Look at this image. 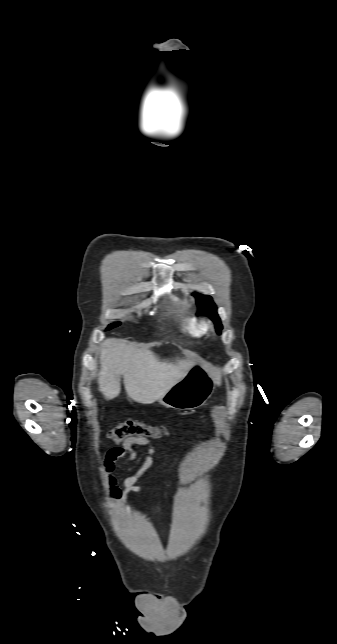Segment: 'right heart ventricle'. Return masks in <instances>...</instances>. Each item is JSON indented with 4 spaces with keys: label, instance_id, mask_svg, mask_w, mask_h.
<instances>
[{
    "label": "right heart ventricle",
    "instance_id": "1",
    "mask_svg": "<svg viewBox=\"0 0 337 644\" xmlns=\"http://www.w3.org/2000/svg\"><path fill=\"white\" fill-rule=\"evenodd\" d=\"M180 329L187 336L200 338L205 333V324L195 315H185L180 319Z\"/></svg>",
    "mask_w": 337,
    "mask_h": 644
}]
</instances>
